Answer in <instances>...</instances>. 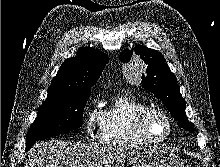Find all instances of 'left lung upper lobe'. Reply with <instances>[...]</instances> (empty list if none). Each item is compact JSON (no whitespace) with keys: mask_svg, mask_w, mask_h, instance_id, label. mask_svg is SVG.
Listing matches in <instances>:
<instances>
[{"mask_svg":"<svg viewBox=\"0 0 220 167\" xmlns=\"http://www.w3.org/2000/svg\"><path fill=\"white\" fill-rule=\"evenodd\" d=\"M133 50L148 64L146 74L142 76V87L158 97L180 127L193 132L194 125L188 122L185 113V100L183 99L176 77L170 71L163 55L145 46H137L132 50L126 49L120 54V60H131Z\"/></svg>","mask_w":220,"mask_h":167,"instance_id":"obj_1","label":"left lung upper lobe"}]
</instances>
